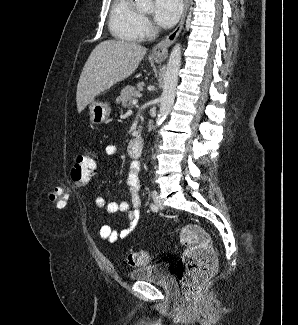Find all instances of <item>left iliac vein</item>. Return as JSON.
Returning a JSON list of instances; mask_svg holds the SVG:
<instances>
[{"instance_id": "4c4485c4", "label": "left iliac vein", "mask_w": 298, "mask_h": 325, "mask_svg": "<svg viewBox=\"0 0 298 325\" xmlns=\"http://www.w3.org/2000/svg\"><path fill=\"white\" fill-rule=\"evenodd\" d=\"M152 199L155 203V205L157 206L158 209H162L163 208V204H162V201H161V198L158 194V192L156 190H153L152 191Z\"/></svg>"}]
</instances>
